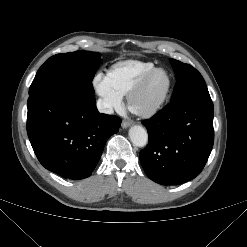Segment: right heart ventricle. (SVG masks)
I'll list each match as a JSON object with an SVG mask.
<instances>
[{
    "instance_id": "1",
    "label": "right heart ventricle",
    "mask_w": 247,
    "mask_h": 247,
    "mask_svg": "<svg viewBox=\"0 0 247 247\" xmlns=\"http://www.w3.org/2000/svg\"><path fill=\"white\" fill-rule=\"evenodd\" d=\"M155 65L152 62L123 60L115 63L107 72L112 88L121 96L128 95Z\"/></svg>"
}]
</instances>
